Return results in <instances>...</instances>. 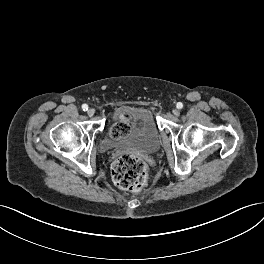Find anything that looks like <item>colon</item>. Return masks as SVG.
I'll return each instance as SVG.
<instances>
[{
	"label": "colon",
	"instance_id": "1",
	"mask_svg": "<svg viewBox=\"0 0 264 264\" xmlns=\"http://www.w3.org/2000/svg\"><path fill=\"white\" fill-rule=\"evenodd\" d=\"M128 130L126 122L114 126L113 134L118 136ZM112 180L123 191H138L148 183V169L146 163L139 157L124 154L119 156L112 164Z\"/></svg>",
	"mask_w": 264,
	"mask_h": 264
}]
</instances>
